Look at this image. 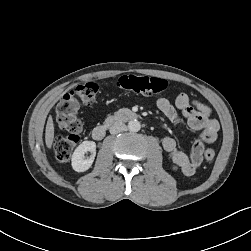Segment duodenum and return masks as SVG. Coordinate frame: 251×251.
Wrapping results in <instances>:
<instances>
[{
	"mask_svg": "<svg viewBox=\"0 0 251 251\" xmlns=\"http://www.w3.org/2000/svg\"><path fill=\"white\" fill-rule=\"evenodd\" d=\"M136 118H137V115L133 111L128 110V109H121L117 111L116 113H114L113 115L109 116L104 121V123L95 126L91 132L92 138L94 140L100 141L105 137L106 132L109 127L117 123L134 120Z\"/></svg>",
	"mask_w": 251,
	"mask_h": 251,
	"instance_id": "duodenum-1",
	"label": "duodenum"
}]
</instances>
